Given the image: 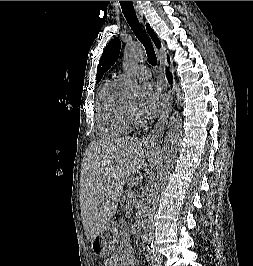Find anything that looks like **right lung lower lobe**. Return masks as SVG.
I'll list each match as a JSON object with an SVG mask.
<instances>
[{
  "mask_svg": "<svg viewBox=\"0 0 253 266\" xmlns=\"http://www.w3.org/2000/svg\"><path fill=\"white\" fill-rule=\"evenodd\" d=\"M166 75H167V78H168L169 82H171V80H172V75H171V73L167 72Z\"/></svg>",
  "mask_w": 253,
  "mask_h": 266,
  "instance_id": "98d812e1",
  "label": "right lung lower lobe"
}]
</instances>
